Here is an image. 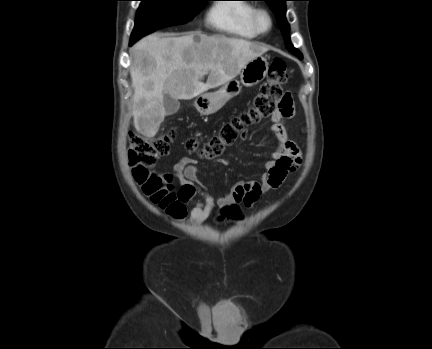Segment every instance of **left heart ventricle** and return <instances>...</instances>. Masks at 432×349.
Segmentation results:
<instances>
[{
    "label": "left heart ventricle",
    "mask_w": 432,
    "mask_h": 349,
    "mask_svg": "<svg viewBox=\"0 0 432 349\" xmlns=\"http://www.w3.org/2000/svg\"><path fill=\"white\" fill-rule=\"evenodd\" d=\"M261 24H262L263 27H266L267 26L266 19L263 18L262 21H261Z\"/></svg>",
    "instance_id": "b2bd125f"
}]
</instances>
